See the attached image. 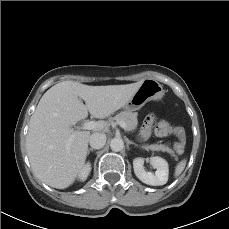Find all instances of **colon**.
Here are the masks:
<instances>
[{
  "label": "colon",
  "mask_w": 229,
  "mask_h": 229,
  "mask_svg": "<svg viewBox=\"0 0 229 229\" xmlns=\"http://www.w3.org/2000/svg\"><path fill=\"white\" fill-rule=\"evenodd\" d=\"M155 133L158 136L166 137L170 135H175L177 137V151H181L185 145V131L181 127H174L168 121L162 120L157 123L155 127Z\"/></svg>",
  "instance_id": "colon-1"
}]
</instances>
